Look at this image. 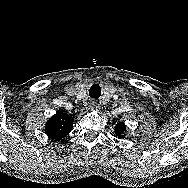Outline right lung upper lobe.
<instances>
[{
    "label": "right lung upper lobe",
    "mask_w": 188,
    "mask_h": 188,
    "mask_svg": "<svg viewBox=\"0 0 188 188\" xmlns=\"http://www.w3.org/2000/svg\"><path fill=\"white\" fill-rule=\"evenodd\" d=\"M74 118L57 111L46 123L45 133L53 140L64 138L72 129Z\"/></svg>",
    "instance_id": "obj_1"
}]
</instances>
